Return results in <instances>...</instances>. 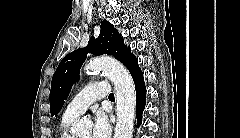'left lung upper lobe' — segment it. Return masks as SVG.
Returning <instances> with one entry per match:
<instances>
[{
	"label": "left lung upper lobe",
	"mask_w": 240,
	"mask_h": 138,
	"mask_svg": "<svg viewBox=\"0 0 240 138\" xmlns=\"http://www.w3.org/2000/svg\"><path fill=\"white\" fill-rule=\"evenodd\" d=\"M87 53L113 55L126 67L134 57L130 47L124 44L117 29L108 21H102L101 31L97 39L91 37L85 48L66 55L59 63L51 82L50 112L52 116L60 111L73 83L79 78V70L86 59Z\"/></svg>",
	"instance_id": "obj_1"
}]
</instances>
